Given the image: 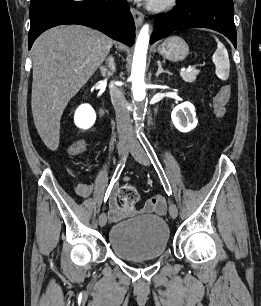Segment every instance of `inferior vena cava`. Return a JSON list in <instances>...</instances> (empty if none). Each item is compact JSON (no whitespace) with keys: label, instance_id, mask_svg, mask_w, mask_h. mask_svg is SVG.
<instances>
[{"label":"inferior vena cava","instance_id":"602c4592","mask_svg":"<svg viewBox=\"0 0 261 306\" xmlns=\"http://www.w3.org/2000/svg\"><path fill=\"white\" fill-rule=\"evenodd\" d=\"M110 66L112 69L113 59L110 58ZM110 97L112 104L114 106L116 112V121H117V129L118 133L131 135L132 133V125L130 119V112L127 109V102L124 97L122 90H120L116 85L113 83L110 85L109 88Z\"/></svg>","mask_w":261,"mask_h":306}]
</instances>
